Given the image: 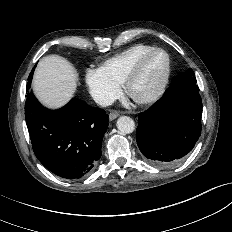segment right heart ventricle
<instances>
[{
    "label": "right heart ventricle",
    "instance_id": "obj_1",
    "mask_svg": "<svg viewBox=\"0 0 232 232\" xmlns=\"http://www.w3.org/2000/svg\"><path fill=\"white\" fill-rule=\"evenodd\" d=\"M152 48L154 47L147 44L133 45L106 59L100 68L115 82L123 84L126 75L137 58Z\"/></svg>",
    "mask_w": 232,
    "mask_h": 232
}]
</instances>
